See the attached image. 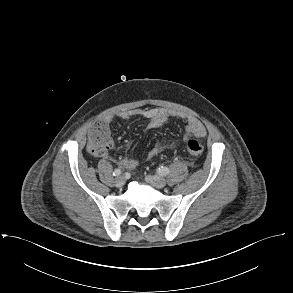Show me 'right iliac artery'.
<instances>
[{
	"label": "right iliac artery",
	"instance_id": "right-iliac-artery-1",
	"mask_svg": "<svg viewBox=\"0 0 293 293\" xmlns=\"http://www.w3.org/2000/svg\"><path fill=\"white\" fill-rule=\"evenodd\" d=\"M121 174V170L120 169H115L113 172L114 176H119Z\"/></svg>",
	"mask_w": 293,
	"mask_h": 293
}]
</instances>
